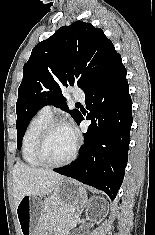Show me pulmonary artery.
Returning <instances> with one entry per match:
<instances>
[{"label": "pulmonary artery", "mask_w": 155, "mask_h": 235, "mask_svg": "<svg viewBox=\"0 0 155 235\" xmlns=\"http://www.w3.org/2000/svg\"><path fill=\"white\" fill-rule=\"evenodd\" d=\"M72 94L75 99L80 100V101H83L85 98V94L81 89H74ZM41 112L46 115L52 116L53 110L51 106L46 105L41 109Z\"/></svg>", "instance_id": "obj_1"}]
</instances>
